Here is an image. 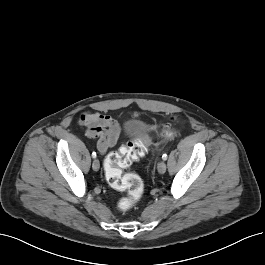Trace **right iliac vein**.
<instances>
[{
  "label": "right iliac vein",
  "instance_id": "63e3f726",
  "mask_svg": "<svg viewBox=\"0 0 265 265\" xmlns=\"http://www.w3.org/2000/svg\"><path fill=\"white\" fill-rule=\"evenodd\" d=\"M92 168L95 171H98L100 168V162L98 159H94L93 163H92Z\"/></svg>",
  "mask_w": 265,
  "mask_h": 265
}]
</instances>
